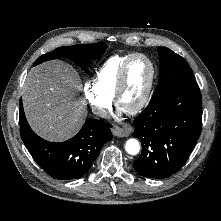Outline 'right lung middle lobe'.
I'll return each mask as SVG.
<instances>
[{
	"label": "right lung middle lobe",
	"mask_w": 221,
	"mask_h": 221,
	"mask_svg": "<svg viewBox=\"0 0 221 221\" xmlns=\"http://www.w3.org/2000/svg\"><path fill=\"white\" fill-rule=\"evenodd\" d=\"M107 45L103 42L97 44H83L73 45L68 47H59L55 50L40 56L34 63V66L42 62L57 59L60 57H67L78 61L85 65L91 60L98 59L106 50Z\"/></svg>",
	"instance_id": "dd1d6c3e"
}]
</instances>
